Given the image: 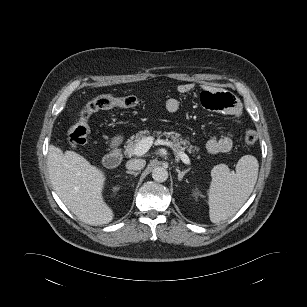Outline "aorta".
I'll list each match as a JSON object with an SVG mask.
<instances>
[{
	"label": "aorta",
	"mask_w": 307,
	"mask_h": 307,
	"mask_svg": "<svg viewBox=\"0 0 307 307\" xmlns=\"http://www.w3.org/2000/svg\"><path fill=\"white\" fill-rule=\"evenodd\" d=\"M152 178L157 182H164L168 179V171L163 167H155L152 171Z\"/></svg>",
	"instance_id": "762f6f07"
}]
</instances>
